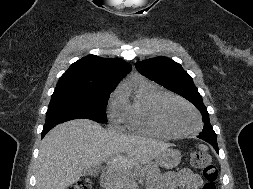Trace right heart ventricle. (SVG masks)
Instances as JSON below:
<instances>
[{
	"label": "right heart ventricle",
	"mask_w": 253,
	"mask_h": 189,
	"mask_svg": "<svg viewBox=\"0 0 253 189\" xmlns=\"http://www.w3.org/2000/svg\"><path fill=\"white\" fill-rule=\"evenodd\" d=\"M132 93V100L127 101L126 93V109H125V124L133 131L156 135L169 136L154 126L151 120V109L155 101L166 94L159 87L147 83L140 82L136 84L130 91Z\"/></svg>",
	"instance_id": "e07e8e85"
}]
</instances>
